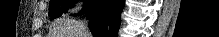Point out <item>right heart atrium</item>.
<instances>
[{
  "instance_id": "obj_1",
  "label": "right heart atrium",
  "mask_w": 219,
  "mask_h": 37,
  "mask_svg": "<svg viewBox=\"0 0 219 37\" xmlns=\"http://www.w3.org/2000/svg\"><path fill=\"white\" fill-rule=\"evenodd\" d=\"M80 5L79 3H74L71 7H70V12H76L79 9Z\"/></svg>"
}]
</instances>
